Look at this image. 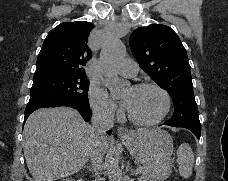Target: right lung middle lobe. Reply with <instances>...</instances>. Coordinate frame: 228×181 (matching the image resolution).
<instances>
[{"label":"right lung middle lobe","instance_id":"1","mask_svg":"<svg viewBox=\"0 0 228 181\" xmlns=\"http://www.w3.org/2000/svg\"><path fill=\"white\" fill-rule=\"evenodd\" d=\"M86 76L52 74L33 79L29 103L65 101L89 108Z\"/></svg>","mask_w":228,"mask_h":181}]
</instances>
